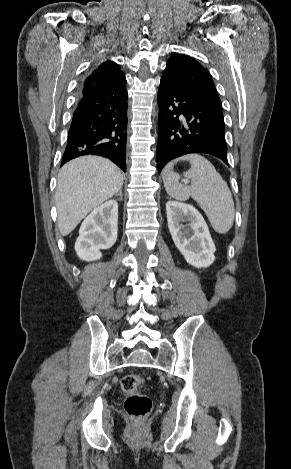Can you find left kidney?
<instances>
[{
	"instance_id": "left-kidney-1",
	"label": "left kidney",
	"mask_w": 291,
	"mask_h": 469,
	"mask_svg": "<svg viewBox=\"0 0 291 469\" xmlns=\"http://www.w3.org/2000/svg\"><path fill=\"white\" fill-rule=\"evenodd\" d=\"M168 228L175 246L187 263L196 268L209 267L216 251L208 226L199 211L189 204L168 201L166 204ZM190 221L189 228L181 224Z\"/></svg>"
}]
</instances>
